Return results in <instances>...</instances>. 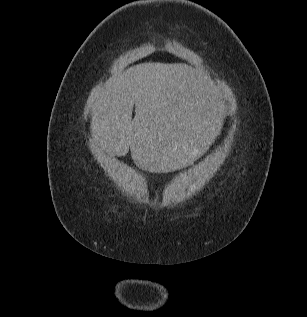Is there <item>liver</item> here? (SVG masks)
<instances>
[{
    "label": "liver",
    "mask_w": 307,
    "mask_h": 317,
    "mask_svg": "<svg viewBox=\"0 0 307 317\" xmlns=\"http://www.w3.org/2000/svg\"><path fill=\"white\" fill-rule=\"evenodd\" d=\"M217 89L183 63L134 65L92 90L91 135L108 152L126 155L131 148L147 175H181L221 141L227 113L225 102L215 101L223 97Z\"/></svg>",
    "instance_id": "liver-1"
}]
</instances>
